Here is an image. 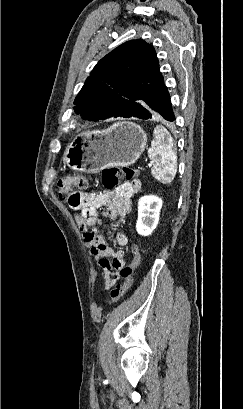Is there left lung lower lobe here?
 Wrapping results in <instances>:
<instances>
[{
  "instance_id": "left-lung-lower-lobe-1",
  "label": "left lung lower lobe",
  "mask_w": 243,
  "mask_h": 409,
  "mask_svg": "<svg viewBox=\"0 0 243 409\" xmlns=\"http://www.w3.org/2000/svg\"><path fill=\"white\" fill-rule=\"evenodd\" d=\"M157 114L168 121H174L175 116L172 110L170 95L164 82L162 81L148 93H146L138 102L126 105L122 117H137L140 119H151ZM110 117H119L118 114L108 113L100 120Z\"/></svg>"
}]
</instances>
